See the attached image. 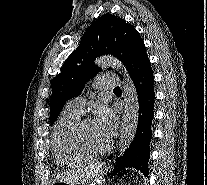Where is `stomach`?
<instances>
[{
  "label": "stomach",
  "instance_id": "stomach-1",
  "mask_svg": "<svg viewBox=\"0 0 207 185\" xmlns=\"http://www.w3.org/2000/svg\"><path fill=\"white\" fill-rule=\"evenodd\" d=\"M55 185H65L66 183H64V182H56V183H54Z\"/></svg>",
  "mask_w": 207,
  "mask_h": 185
}]
</instances>
